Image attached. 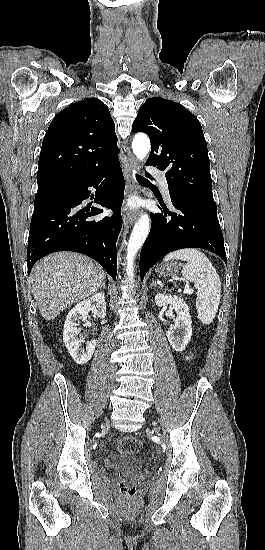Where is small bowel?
Instances as JSON below:
<instances>
[{"label": "small bowel", "instance_id": "small-bowel-1", "mask_svg": "<svg viewBox=\"0 0 265 550\" xmlns=\"http://www.w3.org/2000/svg\"><path fill=\"white\" fill-rule=\"evenodd\" d=\"M194 354L192 351H189L186 355H185V360L186 361H189L193 358Z\"/></svg>", "mask_w": 265, "mask_h": 550}]
</instances>
